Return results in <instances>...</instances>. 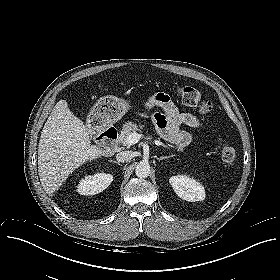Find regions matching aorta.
<instances>
[{"instance_id": "obj_1", "label": "aorta", "mask_w": 280, "mask_h": 280, "mask_svg": "<svg viewBox=\"0 0 280 280\" xmlns=\"http://www.w3.org/2000/svg\"><path fill=\"white\" fill-rule=\"evenodd\" d=\"M135 174L139 178H146L150 174V165L148 162H140L136 166Z\"/></svg>"}]
</instances>
